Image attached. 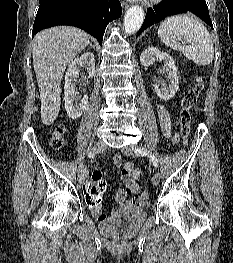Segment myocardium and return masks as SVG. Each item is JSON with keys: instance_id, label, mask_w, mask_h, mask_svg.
<instances>
[{"instance_id": "1", "label": "myocardium", "mask_w": 233, "mask_h": 263, "mask_svg": "<svg viewBox=\"0 0 233 263\" xmlns=\"http://www.w3.org/2000/svg\"><path fill=\"white\" fill-rule=\"evenodd\" d=\"M161 0H145L147 4H156L159 3Z\"/></svg>"}]
</instances>
